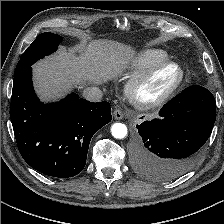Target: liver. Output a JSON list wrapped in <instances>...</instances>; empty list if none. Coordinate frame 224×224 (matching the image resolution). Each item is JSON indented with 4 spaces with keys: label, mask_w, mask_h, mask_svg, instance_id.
Wrapping results in <instances>:
<instances>
[{
    "label": "liver",
    "mask_w": 224,
    "mask_h": 224,
    "mask_svg": "<svg viewBox=\"0 0 224 224\" xmlns=\"http://www.w3.org/2000/svg\"><path fill=\"white\" fill-rule=\"evenodd\" d=\"M134 55L130 46L110 40H92L77 50L61 47L57 54L33 66L37 92L48 101L78 84L113 80Z\"/></svg>",
    "instance_id": "liver-1"
}]
</instances>
